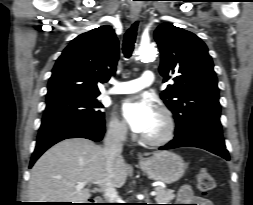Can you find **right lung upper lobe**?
Listing matches in <instances>:
<instances>
[{"instance_id": "1", "label": "right lung upper lobe", "mask_w": 253, "mask_h": 205, "mask_svg": "<svg viewBox=\"0 0 253 205\" xmlns=\"http://www.w3.org/2000/svg\"><path fill=\"white\" fill-rule=\"evenodd\" d=\"M119 42L104 25L73 39L58 58L48 83L47 101L76 95H99L97 83L116 71Z\"/></svg>"}]
</instances>
